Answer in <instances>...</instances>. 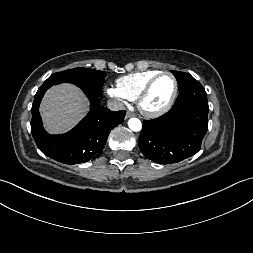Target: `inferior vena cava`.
Returning <instances> with one entry per match:
<instances>
[{
  "instance_id": "602c4592",
  "label": "inferior vena cava",
  "mask_w": 253,
  "mask_h": 253,
  "mask_svg": "<svg viewBox=\"0 0 253 253\" xmlns=\"http://www.w3.org/2000/svg\"><path fill=\"white\" fill-rule=\"evenodd\" d=\"M107 107L112 111L124 110V105L117 99H110L107 102Z\"/></svg>"
}]
</instances>
